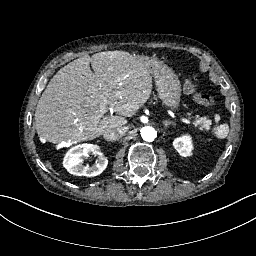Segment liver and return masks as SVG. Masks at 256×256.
Segmentation results:
<instances>
[{"label":"liver","instance_id":"1","mask_svg":"<svg viewBox=\"0 0 256 256\" xmlns=\"http://www.w3.org/2000/svg\"><path fill=\"white\" fill-rule=\"evenodd\" d=\"M153 70L144 59L117 50L70 62L53 76L38 101V136L54 144L78 143L121 128L127 124L125 117L149 99ZM109 109L118 115L104 116Z\"/></svg>","mask_w":256,"mask_h":256}]
</instances>
